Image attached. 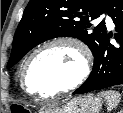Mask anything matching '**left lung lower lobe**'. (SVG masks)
<instances>
[{
    "label": "left lung lower lobe",
    "mask_w": 123,
    "mask_h": 113,
    "mask_svg": "<svg viewBox=\"0 0 123 113\" xmlns=\"http://www.w3.org/2000/svg\"><path fill=\"white\" fill-rule=\"evenodd\" d=\"M106 12L112 18L117 32H119L116 36L118 44H110L111 35L104 38L93 54L92 72L73 94H83L123 84V0H110Z\"/></svg>",
    "instance_id": "1"
}]
</instances>
